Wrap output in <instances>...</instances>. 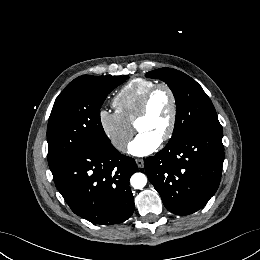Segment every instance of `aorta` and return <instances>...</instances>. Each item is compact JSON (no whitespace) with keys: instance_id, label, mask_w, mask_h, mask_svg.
Returning <instances> with one entry per match:
<instances>
[{"instance_id":"obj_1","label":"aorta","mask_w":260,"mask_h":260,"mask_svg":"<svg viewBox=\"0 0 260 260\" xmlns=\"http://www.w3.org/2000/svg\"><path fill=\"white\" fill-rule=\"evenodd\" d=\"M130 183L134 189H142L147 183V177L143 173H135L132 175Z\"/></svg>"}]
</instances>
